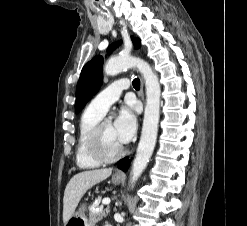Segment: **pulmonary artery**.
<instances>
[{"instance_id": "1", "label": "pulmonary artery", "mask_w": 247, "mask_h": 226, "mask_svg": "<svg viewBox=\"0 0 247 226\" xmlns=\"http://www.w3.org/2000/svg\"><path fill=\"white\" fill-rule=\"evenodd\" d=\"M129 87L126 79H119L99 92L90 102L89 107L104 115L109 107L120 97L123 90Z\"/></svg>"}]
</instances>
